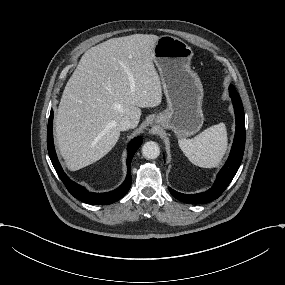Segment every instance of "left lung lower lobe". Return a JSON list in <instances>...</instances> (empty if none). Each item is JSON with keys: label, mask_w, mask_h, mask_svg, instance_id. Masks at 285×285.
<instances>
[{"label": "left lung lower lobe", "mask_w": 285, "mask_h": 285, "mask_svg": "<svg viewBox=\"0 0 285 285\" xmlns=\"http://www.w3.org/2000/svg\"><path fill=\"white\" fill-rule=\"evenodd\" d=\"M236 117V133L229 158L219 172L214 185L206 192L198 194H182L169 187L171 194L178 200L188 204H203L217 199L227 188L241 164L245 146L244 109L239 94L233 85L229 87Z\"/></svg>", "instance_id": "0a47b994"}]
</instances>
